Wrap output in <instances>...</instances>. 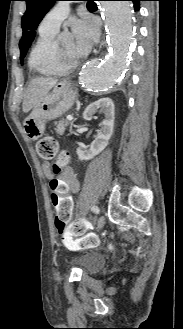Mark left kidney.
I'll return each mask as SVG.
<instances>
[{"mask_svg":"<svg viewBox=\"0 0 183 329\" xmlns=\"http://www.w3.org/2000/svg\"><path fill=\"white\" fill-rule=\"evenodd\" d=\"M114 103L106 97L91 103L84 111L83 118L87 121L92 120L93 115L98 111L105 114V119L100 123L101 128L98 130L95 140L91 143L89 150L77 148V155L80 160H90L102 152L108 145V141L113 134L114 127Z\"/></svg>","mask_w":183,"mask_h":329,"instance_id":"5707ae66","label":"left kidney"}]
</instances>
